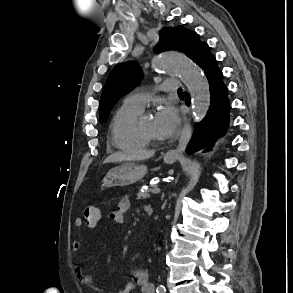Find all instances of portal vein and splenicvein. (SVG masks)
Instances as JSON below:
<instances>
[{
  "label": "portal vein and splenic vein",
  "instance_id": "portal-vein-and-splenic-vein-1",
  "mask_svg": "<svg viewBox=\"0 0 293 293\" xmlns=\"http://www.w3.org/2000/svg\"><path fill=\"white\" fill-rule=\"evenodd\" d=\"M160 192H161V189L158 188V187H156V188H154V189L152 190V193H154V194H158V193H160Z\"/></svg>",
  "mask_w": 293,
  "mask_h": 293
}]
</instances>
